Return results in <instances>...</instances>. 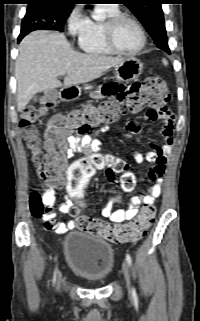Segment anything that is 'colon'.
Segmentation results:
<instances>
[{
    "instance_id": "colon-1",
    "label": "colon",
    "mask_w": 200,
    "mask_h": 321,
    "mask_svg": "<svg viewBox=\"0 0 200 321\" xmlns=\"http://www.w3.org/2000/svg\"><path fill=\"white\" fill-rule=\"evenodd\" d=\"M142 90H137L133 98L115 97L111 103L102 101L97 105H86L67 114L53 116L47 125L45 151L41 146L39 131L35 122L57 102L53 92L46 93L39 106L28 107L20 121L22 137L31 154L38 177L46 187L64 180L67 182L65 198H74L77 208H86L85 185L89 178L98 170L111 166L122 173L120 189L130 191L135 185L134 176L128 172V164L120 158L107 159L105 155L95 153L81 158L70 166L67 162V135L76 131L87 134L100 125L116 121L128 112H137L144 108L163 109L170 99L165 82L158 76H151L142 82ZM30 209L35 217H42L50 212V208L43 203L42 195L34 191L30 196ZM155 207L147 205L142 208L139 215L126 224H110L99 218L79 215L75 208L71 211L76 216L77 228L91 234L101 236L113 243H130L141 239L150 228L155 217Z\"/></svg>"
}]
</instances>
